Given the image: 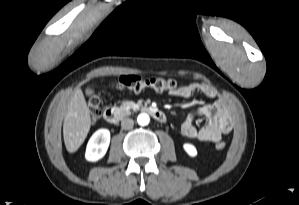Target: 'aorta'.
<instances>
[{"label": "aorta", "mask_w": 299, "mask_h": 205, "mask_svg": "<svg viewBox=\"0 0 299 205\" xmlns=\"http://www.w3.org/2000/svg\"><path fill=\"white\" fill-rule=\"evenodd\" d=\"M150 118L149 115L146 113H141L137 117V122L141 126H146L149 124Z\"/></svg>", "instance_id": "762f6f07"}]
</instances>
